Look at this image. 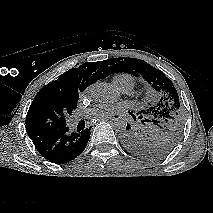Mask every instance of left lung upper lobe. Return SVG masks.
<instances>
[{"label": "left lung upper lobe", "instance_id": "5c2ea615", "mask_svg": "<svg viewBox=\"0 0 213 213\" xmlns=\"http://www.w3.org/2000/svg\"><path fill=\"white\" fill-rule=\"evenodd\" d=\"M102 64L108 75L126 72L142 77L160 94L155 105L140 112L138 129H131L127 124L122 138L125 147L146 159H158L171 152L181 138L184 125V110L173 83L162 71L140 59L120 57ZM130 115L136 120L134 114Z\"/></svg>", "mask_w": 213, "mask_h": 213}]
</instances>
